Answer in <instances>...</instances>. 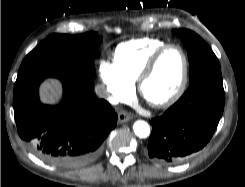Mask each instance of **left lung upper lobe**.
I'll list each match as a JSON object with an SVG mask.
<instances>
[{
    "instance_id": "obj_1",
    "label": "left lung upper lobe",
    "mask_w": 245,
    "mask_h": 187,
    "mask_svg": "<svg viewBox=\"0 0 245 187\" xmlns=\"http://www.w3.org/2000/svg\"><path fill=\"white\" fill-rule=\"evenodd\" d=\"M173 33L181 38L188 51L190 83L203 75L220 70L217 57L200 36L187 29L173 30Z\"/></svg>"
}]
</instances>
